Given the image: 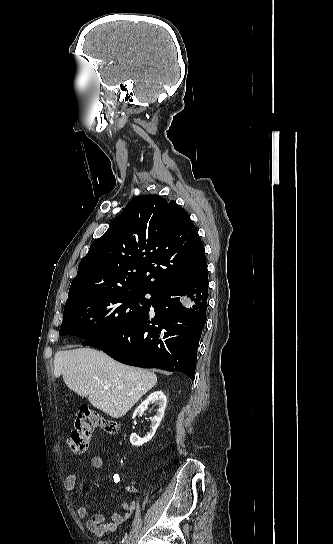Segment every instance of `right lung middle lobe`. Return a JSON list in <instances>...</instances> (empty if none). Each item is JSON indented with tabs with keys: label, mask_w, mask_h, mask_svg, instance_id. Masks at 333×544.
Wrapping results in <instances>:
<instances>
[{
	"label": "right lung middle lobe",
	"mask_w": 333,
	"mask_h": 544,
	"mask_svg": "<svg viewBox=\"0 0 333 544\" xmlns=\"http://www.w3.org/2000/svg\"><path fill=\"white\" fill-rule=\"evenodd\" d=\"M153 297L143 290H116L71 300L65 304L59 334L89 340L120 331L149 310Z\"/></svg>",
	"instance_id": "dd1d6c3e"
}]
</instances>
